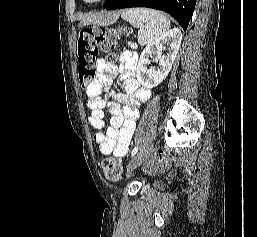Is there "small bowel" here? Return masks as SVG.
I'll list each match as a JSON object with an SVG mask.
<instances>
[{"label": "small bowel", "mask_w": 257, "mask_h": 237, "mask_svg": "<svg viewBox=\"0 0 257 237\" xmlns=\"http://www.w3.org/2000/svg\"><path fill=\"white\" fill-rule=\"evenodd\" d=\"M136 60V55L130 51L121 57L123 71L119 78L125 93L110 92L106 96L102 95L104 89L111 87L112 78L117 72L115 65L102 58L97 61V78L86 88L87 105L90 109L88 121L96 129L94 141L103 154H111L117 158L128 154L139 117V106L151 94L135 78ZM105 110L111 115L107 127L104 121Z\"/></svg>", "instance_id": "1"}]
</instances>
